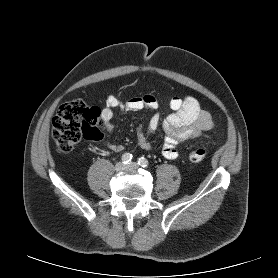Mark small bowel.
<instances>
[{
	"label": "small bowel",
	"mask_w": 278,
	"mask_h": 278,
	"mask_svg": "<svg viewBox=\"0 0 278 278\" xmlns=\"http://www.w3.org/2000/svg\"><path fill=\"white\" fill-rule=\"evenodd\" d=\"M169 106L173 112L164 121H161L159 114H153L149 120L147 132L142 129L139 130L137 139L138 145L142 149L151 150L152 146L148 136L162 124L165 132L162 155L167 159H176L179 155L177 145L180 142L200 137L211 130L214 123L210 112L204 110L199 101L192 96H174L170 99ZM157 107L158 100L152 94L132 97L125 102L115 96H109L105 101V107L101 111L103 125L107 132L113 129L112 119L115 109L135 112L143 109L154 110ZM107 145L114 152H121L124 149L121 144L107 142Z\"/></svg>",
	"instance_id": "small-bowel-1"
}]
</instances>
